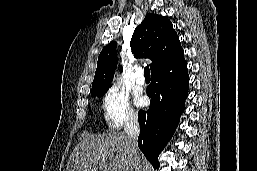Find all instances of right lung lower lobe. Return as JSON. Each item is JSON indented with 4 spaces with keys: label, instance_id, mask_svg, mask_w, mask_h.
<instances>
[{
    "label": "right lung lower lobe",
    "instance_id": "98d812e1",
    "mask_svg": "<svg viewBox=\"0 0 257 171\" xmlns=\"http://www.w3.org/2000/svg\"><path fill=\"white\" fill-rule=\"evenodd\" d=\"M189 76L183 58L176 64L152 73L147 95L151 105L140 110L138 147L154 168L159 167L158 156L178 126L188 95Z\"/></svg>",
    "mask_w": 257,
    "mask_h": 171
}]
</instances>
